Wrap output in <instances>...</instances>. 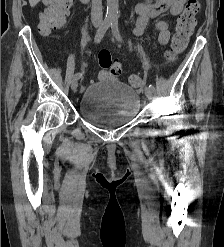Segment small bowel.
Wrapping results in <instances>:
<instances>
[{
    "label": "small bowel",
    "mask_w": 224,
    "mask_h": 247,
    "mask_svg": "<svg viewBox=\"0 0 224 247\" xmlns=\"http://www.w3.org/2000/svg\"><path fill=\"white\" fill-rule=\"evenodd\" d=\"M185 1L186 0H144L138 3L135 7L138 17L134 27V34L141 36L149 20L164 12L168 11L171 15L178 16L183 10ZM155 27L158 31L159 43L167 44L170 39L168 23L164 20H159L156 22ZM106 75V73H102V76Z\"/></svg>",
    "instance_id": "small-bowel-1"
}]
</instances>
